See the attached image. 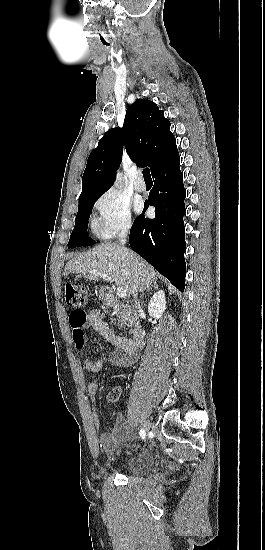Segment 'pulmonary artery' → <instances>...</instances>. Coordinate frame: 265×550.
Instances as JSON below:
<instances>
[{"instance_id": "obj_1", "label": "pulmonary artery", "mask_w": 265, "mask_h": 550, "mask_svg": "<svg viewBox=\"0 0 265 550\" xmlns=\"http://www.w3.org/2000/svg\"><path fill=\"white\" fill-rule=\"evenodd\" d=\"M139 178H141V175H139ZM135 189L136 191L138 192H143L145 191L146 189V185H145V182L141 179H139L136 184H135Z\"/></svg>"}]
</instances>
